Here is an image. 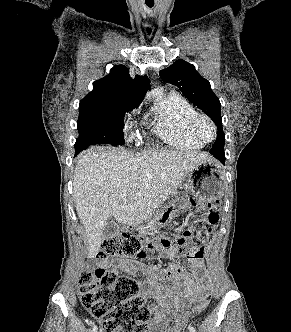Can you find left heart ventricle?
Here are the masks:
<instances>
[{
    "instance_id": "left-heart-ventricle-1",
    "label": "left heart ventricle",
    "mask_w": 291,
    "mask_h": 332,
    "mask_svg": "<svg viewBox=\"0 0 291 332\" xmlns=\"http://www.w3.org/2000/svg\"><path fill=\"white\" fill-rule=\"evenodd\" d=\"M199 132H200L201 136L205 139H211L213 136L211 127L205 122H202L200 124Z\"/></svg>"
}]
</instances>
